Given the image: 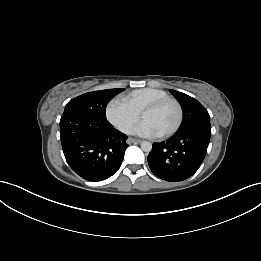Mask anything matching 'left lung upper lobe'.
Segmentation results:
<instances>
[{"mask_svg": "<svg viewBox=\"0 0 261 261\" xmlns=\"http://www.w3.org/2000/svg\"><path fill=\"white\" fill-rule=\"evenodd\" d=\"M170 92L178 100L183 110L184 118L180 128L197 123H210L208 111L196 99L175 90H170Z\"/></svg>", "mask_w": 261, "mask_h": 261, "instance_id": "5c2ea615", "label": "left lung upper lobe"}]
</instances>
